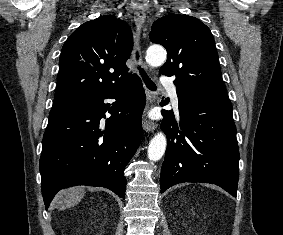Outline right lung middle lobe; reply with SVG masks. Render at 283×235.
I'll return each mask as SVG.
<instances>
[{"label":"right lung middle lobe","mask_w":283,"mask_h":235,"mask_svg":"<svg viewBox=\"0 0 283 235\" xmlns=\"http://www.w3.org/2000/svg\"><path fill=\"white\" fill-rule=\"evenodd\" d=\"M77 102L54 104L50 114L49 121L58 119L66 115L75 106Z\"/></svg>","instance_id":"obj_1"}]
</instances>
